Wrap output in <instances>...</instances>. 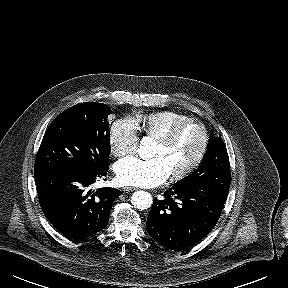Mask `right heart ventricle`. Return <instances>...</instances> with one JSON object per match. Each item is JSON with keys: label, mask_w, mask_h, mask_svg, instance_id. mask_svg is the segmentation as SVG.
<instances>
[{"label": "right heart ventricle", "mask_w": 288, "mask_h": 288, "mask_svg": "<svg viewBox=\"0 0 288 288\" xmlns=\"http://www.w3.org/2000/svg\"><path fill=\"white\" fill-rule=\"evenodd\" d=\"M187 118L189 117L183 113L166 110L146 115H137L133 120L146 136L156 139L172 125Z\"/></svg>", "instance_id": "obj_1"}]
</instances>
